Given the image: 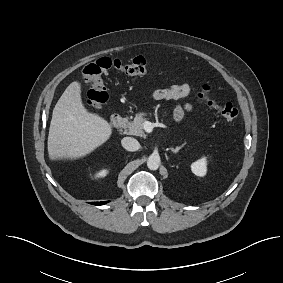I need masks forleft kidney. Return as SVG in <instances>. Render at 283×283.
Segmentation results:
<instances>
[{
	"mask_svg": "<svg viewBox=\"0 0 283 283\" xmlns=\"http://www.w3.org/2000/svg\"><path fill=\"white\" fill-rule=\"evenodd\" d=\"M191 170L196 176L203 177L207 172V158L202 157L201 159L191 164Z\"/></svg>",
	"mask_w": 283,
	"mask_h": 283,
	"instance_id": "1",
	"label": "left kidney"
}]
</instances>
